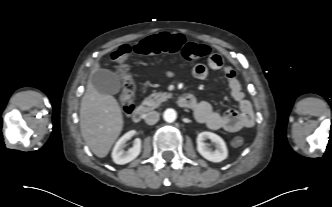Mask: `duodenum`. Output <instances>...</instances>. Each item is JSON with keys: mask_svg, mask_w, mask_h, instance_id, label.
I'll return each instance as SVG.
<instances>
[{"mask_svg": "<svg viewBox=\"0 0 332 207\" xmlns=\"http://www.w3.org/2000/svg\"><path fill=\"white\" fill-rule=\"evenodd\" d=\"M195 102V97L192 94L188 93L182 94L177 100L178 105L183 108H192ZM147 111L148 107L146 106H141L134 110V112L132 113L133 121L136 123L141 122L144 119Z\"/></svg>", "mask_w": 332, "mask_h": 207, "instance_id": "obj_1", "label": "duodenum"}]
</instances>
